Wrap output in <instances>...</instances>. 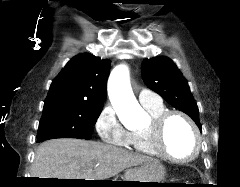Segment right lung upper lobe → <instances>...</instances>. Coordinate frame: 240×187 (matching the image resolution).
I'll use <instances>...</instances> for the list:
<instances>
[{
	"mask_svg": "<svg viewBox=\"0 0 240 187\" xmlns=\"http://www.w3.org/2000/svg\"><path fill=\"white\" fill-rule=\"evenodd\" d=\"M109 60L83 53L73 57L53 80L44 107L60 104L103 105Z\"/></svg>",
	"mask_w": 240,
	"mask_h": 187,
	"instance_id": "right-lung-upper-lobe-1",
	"label": "right lung upper lobe"
}]
</instances>
